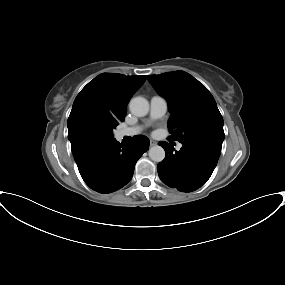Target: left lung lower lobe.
<instances>
[{"instance_id": "obj_1", "label": "left lung lower lobe", "mask_w": 285, "mask_h": 285, "mask_svg": "<svg viewBox=\"0 0 285 285\" xmlns=\"http://www.w3.org/2000/svg\"><path fill=\"white\" fill-rule=\"evenodd\" d=\"M166 152L157 166L162 182L182 192H191L204 185L218 162L221 148L210 144H182L180 151L160 142Z\"/></svg>"}]
</instances>
